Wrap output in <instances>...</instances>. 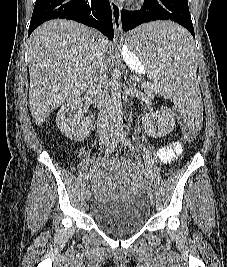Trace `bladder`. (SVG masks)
Segmentation results:
<instances>
[{
  "label": "bladder",
  "mask_w": 227,
  "mask_h": 267,
  "mask_svg": "<svg viewBox=\"0 0 227 267\" xmlns=\"http://www.w3.org/2000/svg\"><path fill=\"white\" fill-rule=\"evenodd\" d=\"M90 216L96 224L114 235H127L141 228L149 218V208L142 195L122 199L95 200Z\"/></svg>",
  "instance_id": "31cf9c89"
}]
</instances>
